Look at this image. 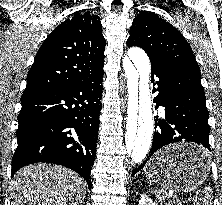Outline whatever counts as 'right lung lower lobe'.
I'll return each instance as SVG.
<instances>
[{"label":"right lung lower lobe","instance_id":"98d812e1","mask_svg":"<svg viewBox=\"0 0 222 205\" xmlns=\"http://www.w3.org/2000/svg\"><path fill=\"white\" fill-rule=\"evenodd\" d=\"M103 75L23 93L12 175L31 163H54L80 174L91 189Z\"/></svg>","mask_w":222,"mask_h":205}]
</instances>
